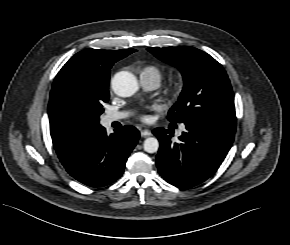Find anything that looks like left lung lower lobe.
Wrapping results in <instances>:
<instances>
[{
    "instance_id": "0a47b994",
    "label": "left lung lower lobe",
    "mask_w": 290,
    "mask_h": 245,
    "mask_svg": "<svg viewBox=\"0 0 290 245\" xmlns=\"http://www.w3.org/2000/svg\"><path fill=\"white\" fill-rule=\"evenodd\" d=\"M186 132L178 142L172 131L156 128L153 134L160 141L156 164L160 175L180 188H191L216 172L232 146L235 131L201 119L184 123Z\"/></svg>"
}]
</instances>
